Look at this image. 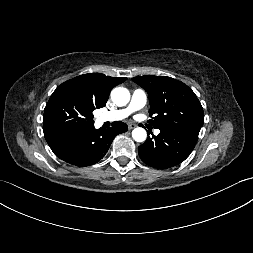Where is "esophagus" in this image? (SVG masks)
Listing matches in <instances>:
<instances>
[{
    "label": "esophagus",
    "instance_id": "1",
    "mask_svg": "<svg viewBox=\"0 0 253 253\" xmlns=\"http://www.w3.org/2000/svg\"><path fill=\"white\" fill-rule=\"evenodd\" d=\"M137 125L134 124V123H129L128 124V128L131 130V129H134Z\"/></svg>",
    "mask_w": 253,
    "mask_h": 253
}]
</instances>
